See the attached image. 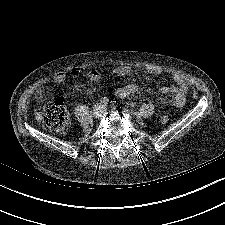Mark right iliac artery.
Segmentation results:
<instances>
[{
  "instance_id": "obj_1",
  "label": "right iliac artery",
  "mask_w": 225,
  "mask_h": 225,
  "mask_svg": "<svg viewBox=\"0 0 225 225\" xmlns=\"http://www.w3.org/2000/svg\"><path fill=\"white\" fill-rule=\"evenodd\" d=\"M100 102L103 106H106L109 103V98L103 97L101 98Z\"/></svg>"
}]
</instances>
